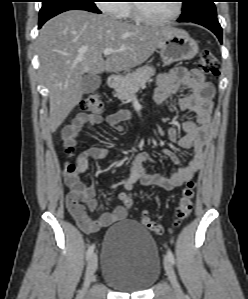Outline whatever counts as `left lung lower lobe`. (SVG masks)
<instances>
[{
    "mask_svg": "<svg viewBox=\"0 0 248 299\" xmlns=\"http://www.w3.org/2000/svg\"><path fill=\"white\" fill-rule=\"evenodd\" d=\"M179 22H182L178 19ZM193 23L202 25L209 30H211L219 39L220 43H222V28L217 20V18H202L195 21Z\"/></svg>",
    "mask_w": 248,
    "mask_h": 299,
    "instance_id": "left-lung-lower-lobe-1",
    "label": "left lung lower lobe"
}]
</instances>
